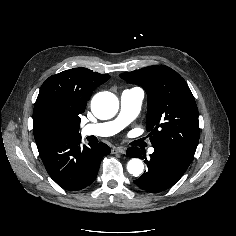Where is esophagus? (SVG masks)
I'll return each instance as SVG.
<instances>
[{
	"instance_id": "obj_1",
	"label": "esophagus",
	"mask_w": 236,
	"mask_h": 236,
	"mask_svg": "<svg viewBox=\"0 0 236 236\" xmlns=\"http://www.w3.org/2000/svg\"><path fill=\"white\" fill-rule=\"evenodd\" d=\"M126 152V149L124 147H113L112 150H111V153L112 154H125Z\"/></svg>"
}]
</instances>
